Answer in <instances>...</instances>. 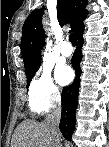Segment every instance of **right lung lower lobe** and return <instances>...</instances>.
<instances>
[{
    "label": "right lung lower lobe",
    "instance_id": "right-lung-lower-lobe-1",
    "mask_svg": "<svg viewBox=\"0 0 109 147\" xmlns=\"http://www.w3.org/2000/svg\"><path fill=\"white\" fill-rule=\"evenodd\" d=\"M83 29L77 33L79 47L72 57V65L77 74L76 78L72 85L65 87L62 91V115L59 126L63 136L69 141L71 140V135L73 134L76 122V107L78 104L81 74L80 60L82 58L80 47L83 44Z\"/></svg>",
    "mask_w": 109,
    "mask_h": 147
}]
</instances>
